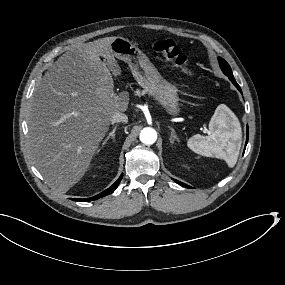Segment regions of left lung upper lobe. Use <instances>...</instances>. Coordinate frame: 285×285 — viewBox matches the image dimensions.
<instances>
[{
  "label": "left lung upper lobe",
  "mask_w": 285,
  "mask_h": 285,
  "mask_svg": "<svg viewBox=\"0 0 285 285\" xmlns=\"http://www.w3.org/2000/svg\"><path fill=\"white\" fill-rule=\"evenodd\" d=\"M218 60H219L220 67H221L223 73L225 75H227L229 77V79H232L233 74H232V70H231L229 64L221 57H219Z\"/></svg>",
  "instance_id": "obj_1"
}]
</instances>
